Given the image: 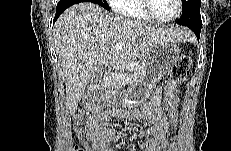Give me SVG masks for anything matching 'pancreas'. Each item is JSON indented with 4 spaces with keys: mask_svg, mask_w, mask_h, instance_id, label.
Wrapping results in <instances>:
<instances>
[{
    "mask_svg": "<svg viewBox=\"0 0 231 151\" xmlns=\"http://www.w3.org/2000/svg\"><path fill=\"white\" fill-rule=\"evenodd\" d=\"M140 74V65L135 62L126 64L123 67H120L118 71L113 73L105 85L108 88H121L126 84L135 82Z\"/></svg>",
    "mask_w": 231,
    "mask_h": 151,
    "instance_id": "cf45deb5",
    "label": "pancreas"
}]
</instances>
